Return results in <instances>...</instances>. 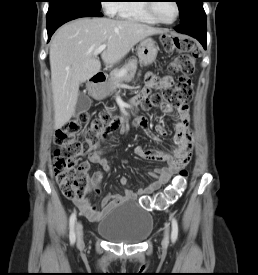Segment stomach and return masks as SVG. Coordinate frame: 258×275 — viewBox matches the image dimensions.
I'll list each match as a JSON object with an SVG mask.
<instances>
[{"instance_id": "1", "label": "stomach", "mask_w": 258, "mask_h": 275, "mask_svg": "<svg viewBox=\"0 0 258 275\" xmlns=\"http://www.w3.org/2000/svg\"><path fill=\"white\" fill-rule=\"evenodd\" d=\"M158 50H159V47L152 38L150 37L144 38L140 42L137 49V54H138L140 64L142 66L151 65L157 57ZM109 93L110 92L108 91L107 83L97 85L92 90V95L96 99H103Z\"/></svg>"}]
</instances>
